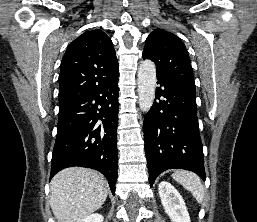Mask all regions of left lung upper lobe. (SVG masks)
Returning <instances> with one entry per match:
<instances>
[{"label":"left lung upper lobe","mask_w":257,"mask_h":222,"mask_svg":"<svg viewBox=\"0 0 257 222\" xmlns=\"http://www.w3.org/2000/svg\"><path fill=\"white\" fill-rule=\"evenodd\" d=\"M151 59L157 74L195 91L194 75L184 43L174 34L157 29L146 39L143 59Z\"/></svg>","instance_id":"1"}]
</instances>
